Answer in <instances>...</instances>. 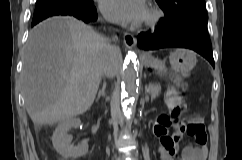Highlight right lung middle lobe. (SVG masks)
Wrapping results in <instances>:
<instances>
[{
	"mask_svg": "<svg viewBox=\"0 0 242 160\" xmlns=\"http://www.w3.org/2000/svg\"><path fill=\"white\" fill-rule=\"evenodd\" d=\"M91 5V0H37L34 13L53 7L87 8Z\"/></svg>",
	"mask_w": 242,
	"mask_h": 160,
	"instance_id": "dd1d6c3e",
	"label": "right lung middle lobe"
}]
</instances>
